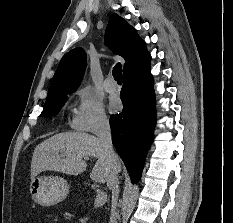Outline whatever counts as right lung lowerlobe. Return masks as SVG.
Listing matches in <instances>:
<instances>
[{"instance_id":"obj_1","label":"right lung lower lobe","mask_w":233,"mask_h":223,"mask_svg":"<svg viewBox=\"0 0 233 223\" xmlns=\"http://www.w3.org/2000/svg\"><path fill=\"white\" fill-rule=\"evenodd\" d=\"M121 114L112 115V142L133 183L139 182L145 157L153 141L155 99L150 65L124 76Z\"/></svg>"}]
</instances>
